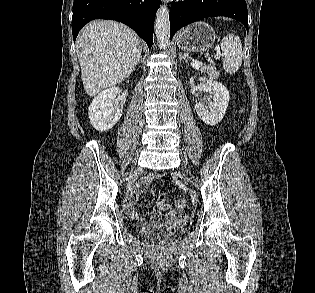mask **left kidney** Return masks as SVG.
I'll use <instances>...</instances> for the list:
<instances>
[{"instance_id": "5707ae66", "label": "left kidney", "mask_w": 315, "mask_h": 293, "mask_svg": "<svg viewBox=\"0 0 315 293\" xmlns=\"http://www.w3.org/2000/svg\"><path fill=\"white\" fill-rule=\"evenodd\" d=\"M200 81L205 82V89L213 95V101H208L209 110L205 104L199 102L195 105V110L199 118L207 125L214 126L218 124L224 117L228 103L230 100L229 91L218 81L212 79L200 78Z\"/></svg>"}]
</instances>
